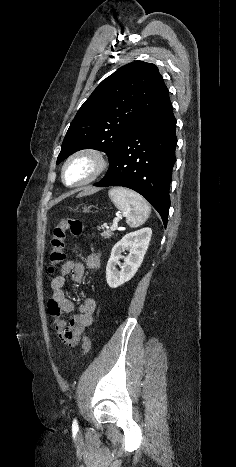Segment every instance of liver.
<instances>
[{"instance_id":"6515ba94","label":"liver","mask_w":236,"mask_h":467,"mask_svg":"<svg viewBox=\"0 0 236 467\" xmlns=\"http://www.w3.org/2000/svg\"><path fill=\"white\" fill-rule=\"evenodd\" d=\"M98 189L96 188H86L81 193L78 194V197H83L92 193H95Z\"/></svg>"}]
</instances>
